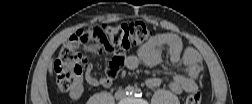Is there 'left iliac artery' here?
I'll return each mask as SVG.
<instances>
[{
    "mask_svg": "<svg viewBox=\"0 0 252 104\" xmlns=\"http://www.w3.org/2000/svg\"><path fill=\"white\" fill-rule=\"evenodd\" d=\"M134 95H135L136 97H141V96H142V91H141V89L135 88V89H134Z\"/></svg>",
    "mask_w": 252,
    "mask_h": 104,
    "instance_id": "left-iliac-artery-1",
    "label": "left iliac artery"
}]
</instances>
